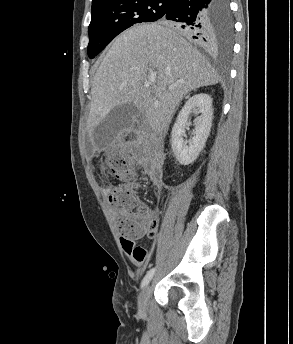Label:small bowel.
<instances>
[{"instance_id": "obj_1", "label": "small bowel", "mask_w": 293, "mask_h": 344, "mask_svg": "<svg viewBox=\"0 0 293 344\" xmlns=\"http://www.w3.org/2000/svg\"><path fill=\"white\" fill-rule=\"evenodd\" d=\"M109 192H110L109 189H105L106 194H108ZM115 223L117 224L116 218H115ZM118 230H119V227H118ZM119 233H120L119 241L125 254L131 259V261L136 266L143 267L150 257V254L147 251V249L143 246L137 245L138 238H133V239L128 238L124 236L120 232V230H119Z\"/></svg>"}]
</instances>
